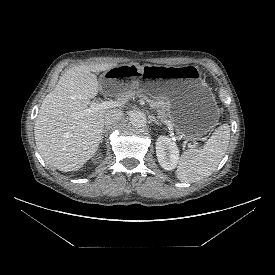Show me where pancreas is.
<instances>
[{"label":"pancreas","mask_w":275,"mask_h":275,"mask_svg":"<svg viewBox=\"0 0 275 275\" xmlns=\"http://www.w3.org/2000/svg\"><path fill=\"white\" fill-rule=\"evenodd\" d=\"M138 94L143 95L139 91L129 90L123 94H120L118 99L120 101H129ZM150 103L152 107L156 110L159 120L162 123L167 124L169 121V103L163 99L152 100Z\"/></svg>","instance_id":"pancreas-1"}]
</instances>
